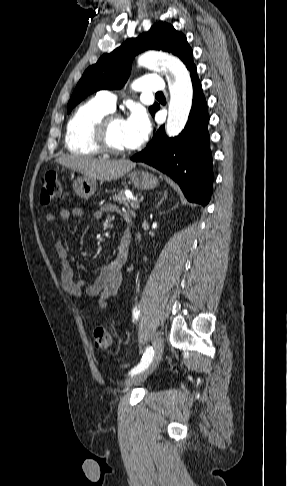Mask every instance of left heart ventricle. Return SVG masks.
Here are the masks:
<instances>
[{"instance_id":"1","label":"left heart ventricle","mask_w":287,"mask_h":486,"mask_svg":"<svg viewBox=\"0 0 287 486\" xmlns=\"http://www.w3.org/2000/svg\"><path fill=\"white\" fill-rule=\"evenodd\" d=\"M108 140L109 143L115 148H128L124 131V120L118 119L111 123L108 131Z\"/></svg>"}]
</instances>
